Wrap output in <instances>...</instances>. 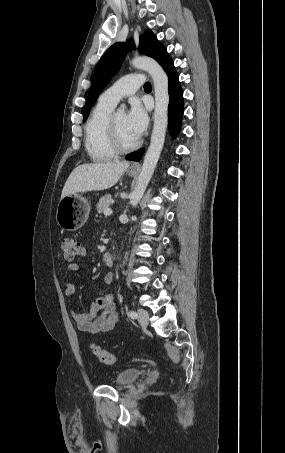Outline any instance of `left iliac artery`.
Instances as JSON below:
<instances>
[{
	"label": "left iliac artery",
	"mask_w": 285,
	"mask_h": 453,
	"mask_svg": "<svg viewBox=\"0 0 285 453\" xmlns=\"http://www.w3.org/2000/svg\"><path fill=\"white\" fill-rule=\"evenodd\" d=\"M128 315H129V317H131L132 319H136L137 316H138L137 313L134 312V311H130V312L128 313Z\"/></svg>",
	"instance_id": "obj_1"
}]
</instances>
